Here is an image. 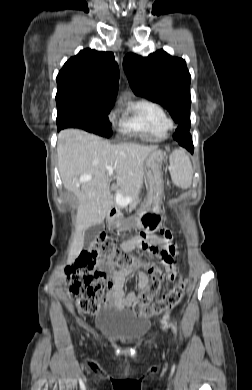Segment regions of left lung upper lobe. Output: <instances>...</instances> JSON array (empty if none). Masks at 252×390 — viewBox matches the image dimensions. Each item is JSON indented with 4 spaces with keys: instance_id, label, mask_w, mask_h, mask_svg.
<instances>
[{
    "instance_id": "5c2ea615",
    "label": "left lung upper lobe",
    "mask_w": 252,
    "mask_h": 390,
    "mask_svg": "<svg viewBox=\"0 0 252 390\" xmlns=\"http://www.w3.org/2000/svg\"><path fill=\"white\" fill-rule=\"evenodd\" d=\"M123 68L136 95L165 107L180 124L177 130L190 127L191 76L185 60L163 50L148 57L129 53L124 57Z\"/></svg>"
}]
</instances>
